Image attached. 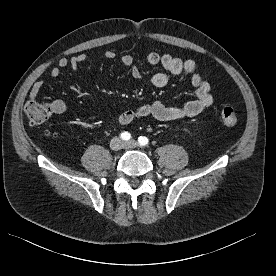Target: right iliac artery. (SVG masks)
Masks as SVG:
<instances>
[{
  "label": "right iliac artery",
  "instance_id": "right-iliac-artery-1",
  "mask_svg": "<svg viewBox=\"0 0 276 276\" xmlns=\"http://www.w3.org/2000/svg\"><path fill=\"white\" fill-rule=\"evenodd\" d=\"M120 137L122 140L128 141L131 139V134L129 132L125 131L120 134Z\"/></svg>",
  "mask_w": 276,
  "mask_h": 276
}]
</instances>
